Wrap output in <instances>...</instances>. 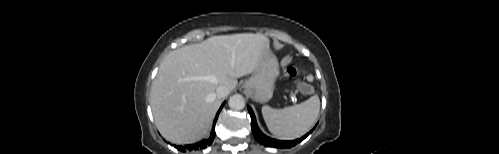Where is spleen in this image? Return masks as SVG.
Wrapping results in <instances>:
<instances>
[{"mask_svg": "<svg viewBox=\"0 0 499 154\" xmlns=\"http://www.w3.org/2000/svg\"><path fill=\"white\" fill-rule=\"evenodd\" d=\"M320 100L317 95L308 100L283 109L262 107V115L269 131L284 140H293L303 136L318 118Z\"/></svg>", "mask_w": 499, "mask_h": 154, "instance_id": "obj_1", "label": "spleen"}]
</instances>
